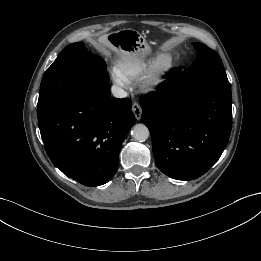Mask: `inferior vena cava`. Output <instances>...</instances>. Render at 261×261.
I'll use <instances>...</instances> for the list:
<instances>
[{
    "instance_id": "1",
    "label": "inferior vena cava",
    "mask_w": 261,
    "mask_h": 261,
    "mask_svg": "<svg viewBox=\"0 0 261 261\" xmlns=\"http://www.w3.org/2000/svg\"><path fill=\"white\" fill-rule=\"evenodd\" d=\"M111 92L116 98H125L127 97V92L118 86H112Z\"/></svg>"
}]
</instances>
